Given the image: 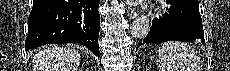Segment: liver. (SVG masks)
<instances>
[{"instance_id":"1","label":"liver","mask_w":230,"mask_h":71,"mask_svg":"<svg viewBox=\"0 0 230 71\" xmlns=\"http://www.w3.org/2000/svg\"><path fill=\"white\" fill-rule=\"evenodd\" d=\"M81 56L72 47H53L39 51L33 58L34 71H77Z\"/></svg>"}]
</instances>
